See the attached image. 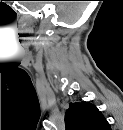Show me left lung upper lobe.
Here are the masks:
<instances>
[{"instance_id":"5c2ea615","label":"left lung upper lobe","mask_w":123,"mask_h":130,"mask_svg":"<svg viewBox=\"0 0 123 130\" xmlns=\"http://www.w3.org/2000/svg\"><path fill=\"white\" fill-rule=\"evenodd\" d=\"M67 130H110V125L97 109L89 102L71 103L65 114Z\"/></svg>"}]
</instances>
